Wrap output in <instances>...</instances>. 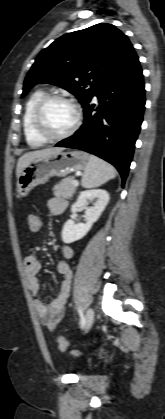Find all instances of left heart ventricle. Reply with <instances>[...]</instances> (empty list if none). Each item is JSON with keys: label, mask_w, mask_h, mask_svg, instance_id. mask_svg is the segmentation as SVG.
<instances>
[{"label": "left heart ventricle", "mask_w": 165, "mask_h": 419, "mask_svg": "<svg viewBox=\"0 0 165 419\" xmlns=\"http://www.w3.org/2000/svg\"><path fill=\"white\" fill-rule=\"evenodd\" d=\"M75 113L72 106L62 101H52L43 111V121L50 134L58 135L67 131L73 124Z\"/></svg>", "instance_id": "b2bd125f"}]
</instances>
